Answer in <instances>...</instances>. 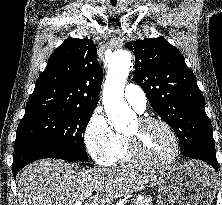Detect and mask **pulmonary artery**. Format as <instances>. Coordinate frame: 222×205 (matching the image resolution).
<instances>
[{
	"instance_id": "1",
	"label": "pulmonary artery",
	"mask_w": 222,
	"mask_h": 205,
	"mask_svg": "<svg viewBox=\"0 0 222 205\" xmlns=\"http://www.w3.org/2000/svg\"><path fill=\"white\" fill-rule=\"evenodd\" d=\"M124 98L137 111L143 112L145 110L146 95L138 85L128 84L124 90Z\"/></svg>"
}]
</instances>
